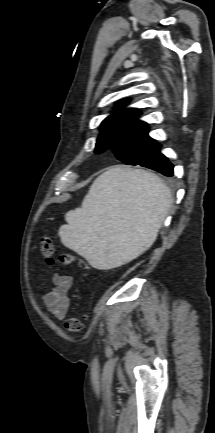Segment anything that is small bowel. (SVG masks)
<instances>
[{
  "label": "small bowel",
  "instance_id": "c3829d8e",
  "mask_svg": "<svg viewBox=\"0 0 215 433\" xmlns=\"http://www.w3.org/2000/svg\"><path fill=\"white\" fill-rule=\"evenodd\" d=\"M52 287L43 296V302L48 312L56 320H62L69 309L68 292L73 284V277L67 274L54 273Z\"/></svg>",
  "mask_w": 215,
  "mask_h": 433
}]
</instances>
